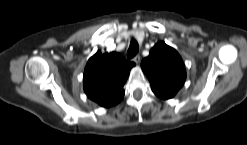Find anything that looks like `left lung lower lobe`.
Returning <instances> with one entry per match:
<instances>
[{
    "instance_id": "left-lung-lower-lobe-1",
    "label": "left lung lower lobe",
    "mask_w": 247,
    "mask_h": 145,
    "mask_svg": "<svg viewBox=\"0 0 247 145\" xmlns=\"http://www.w3.org/2000/svg\"><path fill=\"white\" fill-rule=\"evenodd\" d=\"M158 97L163 98V99H169V96L163 95V94H156Z\"/></svg>"
}]
</instances>
